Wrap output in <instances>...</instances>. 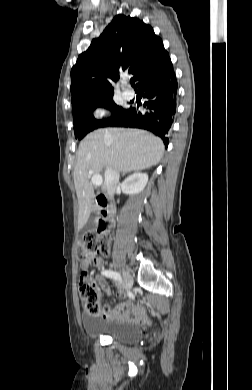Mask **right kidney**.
<instances>
[{"label":"right kidney","instance_id":"1","mask_svg":"<svg viewBox=\"0 0 252 390\" xmlns=\"http://www.w3.org/2000/svg\"><path fill=\"white\" fill-rule=\"evenodd\" d=\"M148 182L146 173L136 172L127 177L121 185L122 192L126 195H134L143 191Z\"/></svg>","mask_w":252,"mask_h":390}]
</instances>
